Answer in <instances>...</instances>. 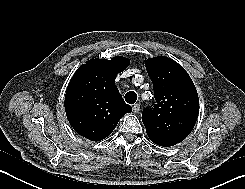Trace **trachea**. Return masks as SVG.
<instances>
[{"instance_id":"3493384b","label":"trachea","mask_w":245,"mask_h":189,"mask_svg":"<svg viewBox=\"0 0 245 189\" xmlns=\"http://www.w3.org/2000/svg\"><path fill=\"white\" fill-rule=\"evenodd\" d=\"M125 100L129 104H134L137 100V94L134 91H130L125 95Z\"/></svg>"}]
</instances>
